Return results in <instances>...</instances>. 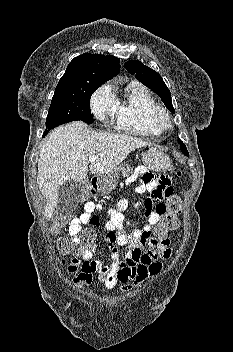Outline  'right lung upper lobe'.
I'll return each mask as SVG.
<instances>
[{
    "label": "right lung upper lobe",
    "instance_id": "obj_1",
    "mask_svg": "<svg viewBox=\"0 0 233 352\" xmlns=\"http://www.w3.org/2000/svg\"><path fill=\"white\" fill-rule=\"evenodd\" d=\"M119 62L112 55L85 53L75 57L58 82L55 92H72L88 85L101 86L119 73Z\"/></svg>",
    "mask_w": 233,
    "mask_h": 352
}]
</instances>
